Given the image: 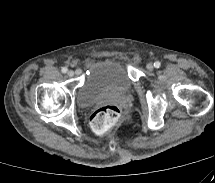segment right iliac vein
Here are the masks:
<instances>
[{
  "label": "right iliac vein",
  "mask_w": 215,
  "mask_h": 183,
  "mask_svg": "<svg viewBox=\"0 0 215 183\" xmlns=\"http://www.w3.org/2000/svg\"><path fill=\"white\" fill-rule=\"evenodd\" d=\"M67 74H68L69 77H73L75 73H74L73 70H69V71L67 72Z\"/></svg>",
  "instance_id": "right-iliac-vein-1"
}]
</instances>
